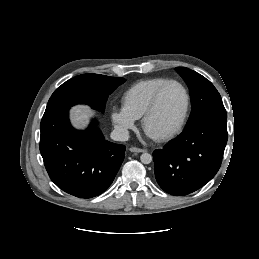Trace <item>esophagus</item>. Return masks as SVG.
Returning a JSON list of instances; mask_svg holds the SVG:
<instances>
[{
  "label": "esophagus",
  "instance_id": "34e87169",
  "mask_svg": "<svg viewBox=\"0 0 259 259\" xmlns=\"http://www.w3.org/2000/svg\"><path fill=\"white\" fill-rule=\"evenodd\" d=\"M131 152H134V153H142V152H145L146 150L145 149H141V148H137V147H130L129 149Z\"/></svg>",
  "mask_w": 259,
  "mask_h": 259
}]
</instances>
